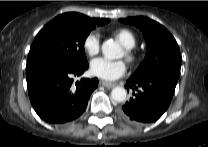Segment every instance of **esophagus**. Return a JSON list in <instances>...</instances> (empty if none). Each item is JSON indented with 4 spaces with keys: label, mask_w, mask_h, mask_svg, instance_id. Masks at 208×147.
<instances>
[{
    "label": "esophagus",
    "mask_w": 208,
    "mask_h": 147,
    "mask_svg": "<svg viewBox=\"0 0 208 147\" xmlns=\"http://www.w3.org/2000/svg\"><path fill=\"white\" fill-rule=\"evenodd\" d=\"M100 84L107 88H113L116 86V83H111V82L103 81V80L100 81Z\"/></svg>",
    "instance_id": "1"
}]
</instances>
